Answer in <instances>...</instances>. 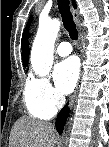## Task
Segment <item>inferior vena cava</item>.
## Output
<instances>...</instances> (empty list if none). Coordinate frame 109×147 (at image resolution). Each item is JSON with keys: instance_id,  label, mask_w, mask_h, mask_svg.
<instances>
[{"instance_id": "inferior-vena-cava-1", "label": "inferior vena cava", "mask_w": 109, "mask_h": 147, "mask_svg": "<svg viewBox=\"0 0 109 147\" xmlns=\"http://www.w3.org/2000/svg\"><path fill=\"white\" fill-rule=\"evenodd\" d=\"M56 100H57L59 106H63L65 104V97L61 94L56 95Z\"/></svg>"}]
</instances>
